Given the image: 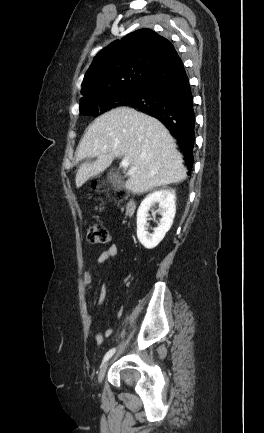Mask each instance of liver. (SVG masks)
<instances>
[{
  "label": "liver",
  "mask_w": 264,
  "mask_h": 433,
  "mask_svg": "<svg viewBox=\"0 0 264 433\" xmlns=\"http://www.w3.org/2000/svg\"><path fill=\"white\" fill-rule=\"evenodd\" d=\"M121 156L129 157L130 169H135L125 184L135 194L179 183L187 176L182 156L162 123L132 108L119 107L95 119L80 142L77 161L89 157L97 160L79 166L77 188Z\"/></svg>",
  "instance_id": "1"
}]
</instances>
